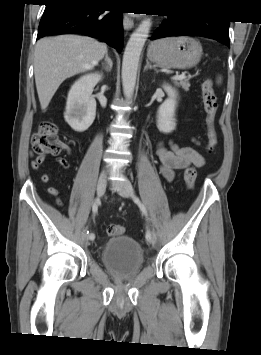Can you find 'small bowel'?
Here are the masks:
<instances>
[{"instance_id": "1", "label": "small bowel", "mask_w": 261, "mask_h": 355, "mask_svg": "<svg viewBox=\"0 0 261 355\" xmlns=\"http://www.w3.org/2000/svg\"><path fill=\"white\" fill-rule=\"evenodd\" d=\"M196 144L198 141L194 140ZM156 154L159 159V170L161 175L168 181H172L175 177L177 170H182L190 165L201 168L205 164L204 157L193 147H182L177 143L170 141L165 143L159 141L156 147ZM44 158L37 157L32 160L31 168L38 170L42 165ZM57 162L59 165L67 169L69 167L68 161L63 157H58ZM41 180L45 183L50 181V176L47 174L42 175ZM52 195L57 194V190L53 187L49 188Z\"/></svg>"}]
</instances>
